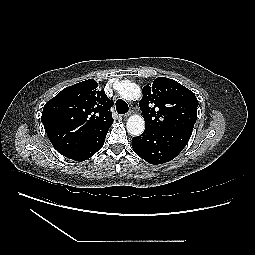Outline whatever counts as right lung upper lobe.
<instances>
[{"instance_id": "cb5924a9", "label": "right lung upper lobe", "mask_w": 255, "mask_h": 255, "mask_svg": "<svg viewBox=\"0 0 255 255\" xmlns=\"http://www.w3.org/2000/svg\"><path fill=\"white\" fill-rule=\"evenodd\" d=\"M98 84L89 79L59 92L44 108L41 121L49 140L64 156L94 133L108 130L113 123V102Z\"/></svg>"}]
</instances>
